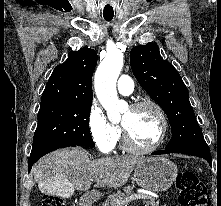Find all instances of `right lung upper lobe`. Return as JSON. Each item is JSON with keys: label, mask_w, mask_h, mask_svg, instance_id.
Here are the masks:
<instances>
[{"label": "right lung upper lobe", "mask_w": 221, "mask_h": 206, "mask_svg": "<svg viewBox=\"0 0 221 206\" xmlns=\"http://www.w3.org/2000/svg\"><path fill=\"white\" fill-rule=\"evenodd\" d=\"M97 53L81 48L68 54V59L55 67L42 93L40 108L92 104V74Z\"/></svg>", "instance_id": "right-lung-upper-lobe-1"}]
</instances>
